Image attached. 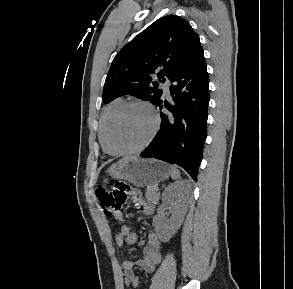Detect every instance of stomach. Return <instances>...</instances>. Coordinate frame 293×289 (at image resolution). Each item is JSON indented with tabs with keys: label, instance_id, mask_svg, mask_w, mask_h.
Instances as JSON below:
<instances>
[{
	"label": "stomach",
	"instance_id": "obj_1",
	"mask_svg": "<svg viewBox=\"0 0 293 289\" xmlns=\"http://www.w3.org/2000/svg\"><path fill=\"white\" fill-rule=\"evenodd\" d=\"M108 173L114 179L143 187L165 180L170 174V166L155 159L128 157L113 164L108 169Z\"/></svg>",
	"mask_w": 293,
	"mask_h": 289
}]
</instances>
